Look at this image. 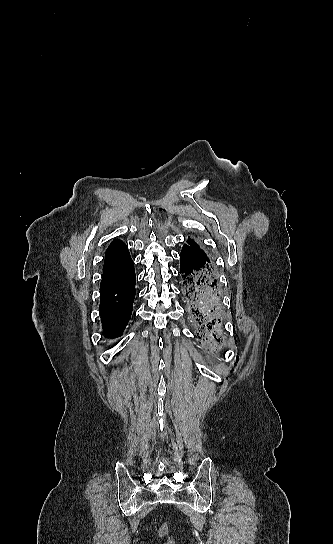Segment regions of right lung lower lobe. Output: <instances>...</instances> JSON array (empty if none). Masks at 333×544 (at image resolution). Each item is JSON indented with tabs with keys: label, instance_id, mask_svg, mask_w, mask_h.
I'll return each mask as SVG.
<instances>
[{
	"label": "right lung lower lobe",
	"instance_id": "obj_1",
	"mask_svg": "<svg viewBox=\"0 0 333 544\" xmlns=\"http://www.w3.org/2000/svg\"><path fill=\"white\" fill-rule=\"evenodd\" d=\"M135 297L133 262L118 275L101 282L100 315L103 334L109 338L122 335L132 314Z\"/></svg>",
	"mask_w": 333,
	"mask_h": 544
}]
</instances>
